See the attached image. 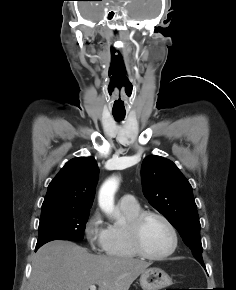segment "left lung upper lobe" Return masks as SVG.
Here are the masks:
<instances>
[{"mask_svg": "<svg viewBox=\"0 0 236 290\" xmlns=\"http://www.w3.org/2000/svg\"><path fill=\"white\" fill-rule=\"evenodd\" d=\"M143 193L179 232L184 243L203 263L200 222L192 187L177 166L170 160L151 155L141 167Z\"/></svg>", "mask_w": 236, "mask_h": 290, "instance_id": "5c2ea615", "label": "left lung upper lobe"}]
</instances>
